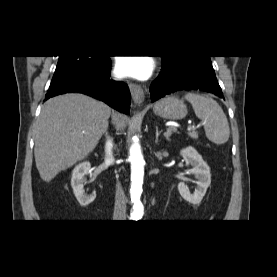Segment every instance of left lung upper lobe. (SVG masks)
Masks as SVG:
<instances>
[{"label":"left lung upper lobe","instance_id":"5c2ea615","mask_svg":"<svg viewBox=\"0 0 277 277\" xmlns=\"http://www.w3.org/2000/svg\"><path fill=\"white\" fill-rule=\"evenodd\" d=\"M163 66L171 67H186L190 65H205L212 66L210 56H192V55H182V56H161Z\"/></svg>","mask_w":277,"mask_h":277}]
</instances>
